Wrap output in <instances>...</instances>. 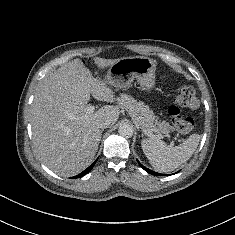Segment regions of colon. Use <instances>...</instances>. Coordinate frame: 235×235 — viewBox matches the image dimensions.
Here are the masks:
<instances>
[{
    "mask_svg": "<svg viewBox=\"0 0 235 235\" xmlns=\"http://www.w3.org/2000/svg\"><path fill=\"white\" fill-rule=\"evenodd\" d=\"M198 105L199 101L193 87L184 85L178 89L173 104L168 109L172 123L178 132L187 134L194 126L193 119L188 115L182 114L181 108L195 109Z\"/></svg>",
    "mask_w": 235,
    "mask_h": 235,
    "instance_id": "colon-1",
    "label": "colon"
}]
</instances>
